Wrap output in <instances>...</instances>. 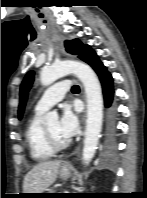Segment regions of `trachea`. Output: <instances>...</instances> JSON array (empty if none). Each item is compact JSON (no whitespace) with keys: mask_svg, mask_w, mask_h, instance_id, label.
Returning <instances> with one entry per match:
<instances>
[{"mask_svg":"<svg viewBox=\"0 0 147 198\" xmlns=\"http://www.w3.org/2000/svg\"><path fill=\"white\" fill-rule=\"evenodd\" d=\"M79 90V86L78 85H74L73 87H72V91H78Z\"/></svg>","mask_w":147,"mask_h":198,"instance_id":"trachea-1","label":"trachea"}]
</instances>
